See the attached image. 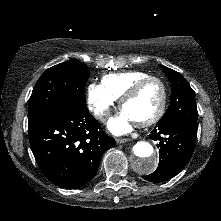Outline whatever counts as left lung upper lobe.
<instances>
[{
	"instance_id": "left-lung-upper-lobe-1",
	"label": "left lung upper lobe",
	"mask_w": 221,
	"mask_h": 221,
	"mask_svg": "<svg viewBox=\"0 0 221 221\" xmlns=\"http://www.w3.org/2000/svg\"><path fill=\"white\" fill-rule=\"evenodd\" d=\"M172 86L170 107L159 122H180L197 132V106L195 92L177 71L160 65Z\"/></svg>"
}]
</instances>
